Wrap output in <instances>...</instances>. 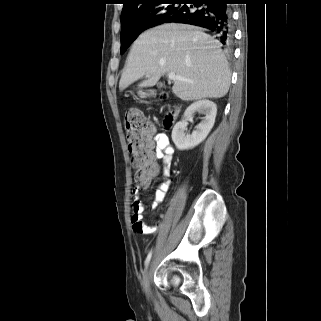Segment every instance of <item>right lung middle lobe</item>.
<instances>
[{
    "label": "right lung middle lobe",
    "mask_w": 321,
    "mask_h": 321,
    "mask_svg": "<svg viewBox=\"0 0 321 321\" xmlns=\"http://www.w3.org/2000/svg\"><path fill=\"white\" fill-rule=\"evenodd\" d=\"M185 0H157L131 15L121 18V50L123 54L143 31L163 24Z\"/></svg>",
    "instance_id": "dd1d6c3e"
}]
</instances>
